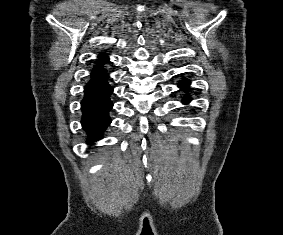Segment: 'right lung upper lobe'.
Returning a JSON list of instances; mask_svg holds the SVG:
<instances>
[{"label":"right lung upper lobe","instance_id":"obj_1","mask_svg":"<svg viewBox=\"0 0 283 235\" xmlns=\"http://www.w3.org/2000/svg\"><path fill=\"white\" fill-rule=\"evenodd\" d=\"M109 60L108 56L105 53H101L99 56V63L94 67L92 71V75L98 74L101 72H105L106 70L103 68L102 64Z\"/></svg>","mask_w":283,"mask_h":235}]
</instances>
